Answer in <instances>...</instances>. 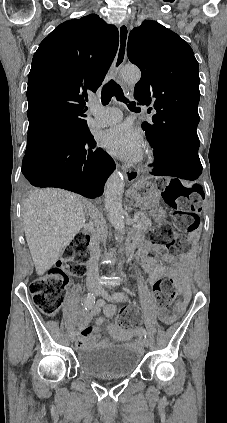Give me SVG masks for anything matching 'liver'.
I'll return each instance as SVG.
<instances>
[{
	"mask_svg": "<svg viewBox=\"0 0 227 423\" xmlns=\"http://www.w3.org/2000/svg\"><path fill=\"white\" fill-rule=\"evenodd\" d=\"M82 198L58 188L33 190L23 200V227L36 273L44 275L86 225ZM89 229V227H88Z\"/></svg>",
	"mask_w": 227,
	"mask_h": 423,
	"instance_id": "1",
	"label": "liver"
}]
</instances>
